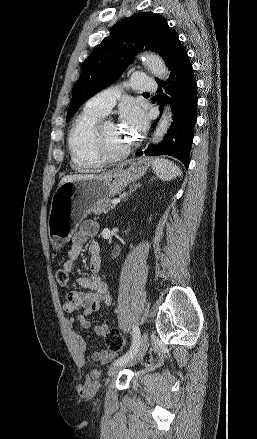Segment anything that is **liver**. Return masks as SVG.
Instances as JSON below:
<instances>
[{"label":"liver","mask_w":257,"mask_h":439,"mask_svg":"<svg viewBox=\"0 0 257 439\" xmlns=\"http://www.w3.org/2000/svg\"><path fill=\"white\" fill-rule=\"evenodd\" d=\"M95 175L93 174H76V175H67L64 176L60 183L59 186L65 182H71V181H75V180H79V179H86V178H91L94 177Z\"/></svg>","instance_id":"1"}]
</instances>
